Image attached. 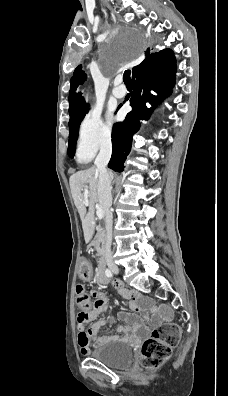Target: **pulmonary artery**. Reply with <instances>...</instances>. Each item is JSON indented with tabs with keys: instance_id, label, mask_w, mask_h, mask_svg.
<instances>
[{
	"instance_id": "obj_1",
	"label": "pulmonary artery",
	"mask_w": 228,
	"mask_h": 396,
	"mask_svg": "<svg viewBox=\"0 0 228 396\" xmlns=\"http://www.w3.org/2000/svg\"><path fill=\"white\" fill-rule=\"evenodd\" d=\"M125 93H126V90L122 85H120V80H116L114 83L113 90H112L113 96L116 98H122V97H124Z\"/></svg>"
}]
</instances>
